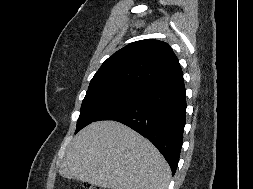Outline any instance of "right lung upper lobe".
Instances as JSON below:
<instances>
[{"label":"right lung upper lobe","mask_w":253,"mask_h":189,"mask_svg":"<svg viewBox=\"0 0 253 189\" xmlns=\"http://www.w3.org/2000/svg\"><path fill=\"white\" fill-rule=\"evenodd\" d=\"M181 80L182 69L171 47L147 39L128 44L109 57L92 78L88 90L128 86L150 91Z\"/></svg>","instance_id":"cb5924a9"}]
</instances>
